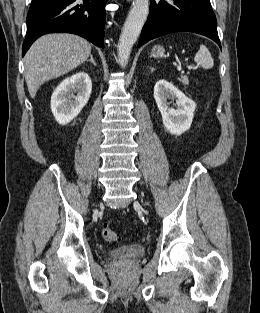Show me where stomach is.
<instances>
[{
    "mask_svg": "<svg viewBox=\"0 0 260 313\" xmlns=\"http://www.w3.org/2000/svg\"><path fill=\"white\" fill-rule=\"evenodd\" d=\"M165 50L162 46H155L152 50V55L154 57H162L164 56Z\"/></svg>",
    "mask_w": 260,
    "mask_h": 313,
    "instance_id": "obj_1",
    "label": "stomach"
}]
</instances>
